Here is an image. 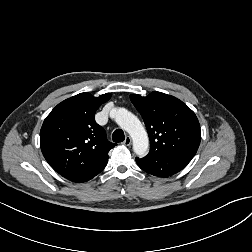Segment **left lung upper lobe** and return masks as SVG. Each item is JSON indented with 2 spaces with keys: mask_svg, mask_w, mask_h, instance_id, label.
Masks as SVG:
<instances>
[{
  "mask_svg": "<svg viewBox=\"0 0 252 252\" xmlns=\"http://www.w3.org/2000/svg\"><path fill=\"white\" fill-rule=\"evenodd\" d=\"M130 99L142 115L150 138L148 157L180 155L193 158L201 140L195 113L181 100L161 92Z\"/></svg>",
  "mask_w": 252,
  "mask_h": 252,
  "instance_id": "1",
  "label": "left lung upper lobe"
}]
</instances>
